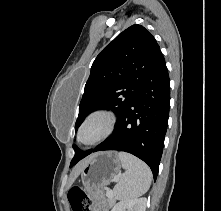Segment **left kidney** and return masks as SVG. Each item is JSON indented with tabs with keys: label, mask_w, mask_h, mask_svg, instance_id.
Here are the masks:
<instances>
[{
	"label": "left kidney",
	"mask_w": 221,
	"mask_h": 211,
	"mask_svg": "<svg viewBox=\"0 0 221 211\" xmlns=\"http://www.w3.org/2000/svg\"><path fill=\"white\" fill-rule=\"evenodd\" d=\"M147 199L135 198L130 200H122L115 204L111 211H145Z\"/></svg>",
	"instance_id": "left-kidney-1"
}]
</instances>
